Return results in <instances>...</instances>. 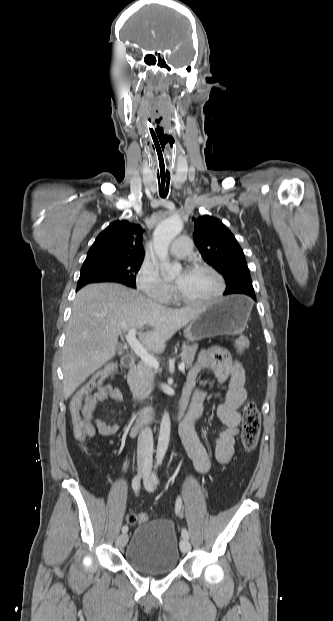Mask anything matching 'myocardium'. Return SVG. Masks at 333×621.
Wrapping results in <instances>:
<instances>
[{
  "label": "myocardium",
  "mask_w": 333,
  "mask_h": 621,
  "mask_svg": "<svg viewBox=\"0 0 333 621\" xmlns=\"http://www.w3.org/2000/svg\"><path fill=\"white\" fill-rule=\"evenodd\" d=\"M190 271H207L209 273H211L217 280L218 282V289L216 291V293L207 298V299H191L188 298L184 295H182L177 288L174 289V296L175 299L178 302H181L183 304H187V305H209L212 304L214 302H216L217 300H219L226 289V284H225V280L223 278V276L221 275V273L215 269L213 266L207 264V263H201V262H196L190 265L189 269Z\"/></svg>",
  "instance_id": "obj_1"
}]
</instances>
